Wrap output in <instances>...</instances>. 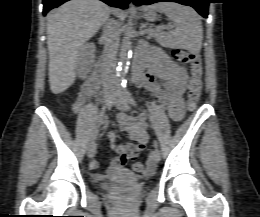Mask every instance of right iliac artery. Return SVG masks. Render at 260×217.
Returning a JSON list of instances; mask_svg holds the SVG:
<instances>
[{"label":"right iliac artery","mask_w":260,"mask_h":217,"mask_svg":"<svg viewBox=\"0 0 260 217\" xmlns=\"http://www.w3.org/2000/svg\"><path fill=\"white\" fill-rule=\"evenodd\" d=\"M111 103H112L111 100L105 102V104L100 112V119H99L98 126L95 130V133L93 135V140H96L99 135L100 128L104 124V115H105L106 109L111 107Z\"/></svg>","instance_id":"obj_1"}]
</instances>
